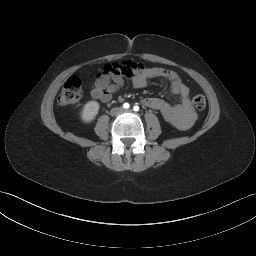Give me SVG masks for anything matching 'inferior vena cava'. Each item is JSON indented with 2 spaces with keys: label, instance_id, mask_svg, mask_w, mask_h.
Wrapping results in <instances>:
<instances>
[{
  "label": "inferior vena cava",
  "instance_id": "inferior-vena-cava-1",
  "mask_svg": "<svg viewBox=\"0 0 256 256\" xmlns=\"http://www.w3.org/2000/svg\"><path fill=\"white\" fill-rule=\"evenodd\" d=\"M122 108H113L112 110H111V115H116V114H119V113H121L122 112Z\"/></svg>",
  "mask_w": 256,
  "mask_h": 256
}]
</instances>
